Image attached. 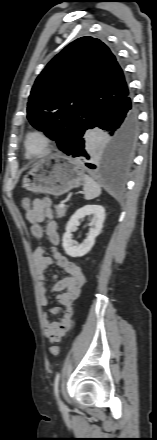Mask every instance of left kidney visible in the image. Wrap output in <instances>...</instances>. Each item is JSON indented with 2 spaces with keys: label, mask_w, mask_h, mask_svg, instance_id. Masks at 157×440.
<instances>
[{
  "label": "left kidney",
  "mask_w": 157,
  "mask_h": 440,
  "mask_svg": "<svg viewBox=\"0 0 157 440\" xmlns=\"http://www.w3.org/2000/svg\"><path fill=\"white\" fill-rule=\"evenodd\" d=\"M93 215L96 222L92 228L89 229L87 238L80 244L76 245L72 239V230L79 225L80 220L85 216ZM105 220V209L100 205H86L78 209L70 218L66 225V232L63 235L62 246L67 255L71 257H81L87 254L95 243V238L101 233L103 223Z\"/></svg>",
  "instance_id": "1"
}]
</instances>
